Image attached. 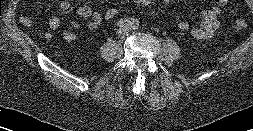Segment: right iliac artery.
Returning a JSON list of instances; mask_svg holds the SVG:
<instances>
[{
  "instance_id": "right-iliac-artery-1",
  "label": "right iliac artery",
  "mask_w": 253,
  "mask_h": 131,
  "mask_svg": "<svg viewBox=\"0 0 253 131\" xmlns=\"http://www.w3.org/2000/svg\"><path fill=\"white\" fill-rule=\"evenodd\" d=\"M131 22H132V19H127V18H125V19H120V20L116 23V25H117L118 27H120V28H125V27H127V26H130Z\"/></svg>"
}]
</instances>
